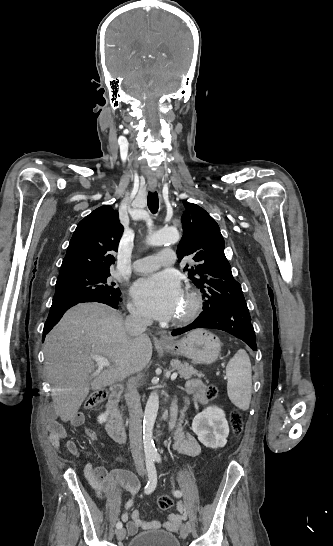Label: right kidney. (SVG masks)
Wrapping results in <instances>:
<instances>
[{
	"label": "right kidney",
	"instance_id": "ca27d5eb",
	"mask_svg": "<svg viewBox=\"0 0 333 546\" xmlns=\"http://www.w3.org/2000/svg\"><path fill=\"white\" fill-rule=\"evenodd\" d=\"M106 420H107V413L101 414V415L98 417V421H99L100 423H104Z\"/></svg>",
	"mask_w": 333,
	"mask_h": 546
}]
</instances>
